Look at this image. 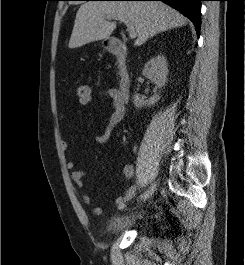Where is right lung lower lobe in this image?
<instances>
[{
    "label": "right lung lower lobe",
    "instance_id": "1",
    "mask_svg": "<svg viewBox=\"0 0 245 265\" xmlns=\"http://www.w3.org/2000/svg\"><path fill=\"white\" fill-rule=\"evenodd\" d=\"M115 1H163L182 12L195 25L197 35L200 34L201 1L203 0H115Z\"/></svg>",
    "mask_w": 245,
    "mask_h": 265
}]
</instances>
